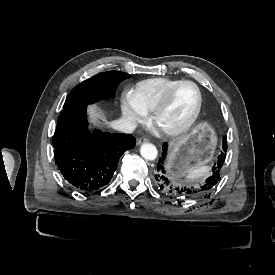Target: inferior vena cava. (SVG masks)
<instances>
[{"label": "inferior vena cava", "mask_w": 275, "mask_h": 275, "mask_svg": "<svg viewBox=\"0 0 275 275\" xmlns=\"http://www.w3.org/2000/svg\"><path fill=\"white\" fill-rule=\"evenodd\" d=\"M111 126L114 129L122 131L124 133H132L136 128L135 124L126 122L124 120H115L111 122Z\"/></svg>", "instance_id": "602c4592"}]
</instances>
